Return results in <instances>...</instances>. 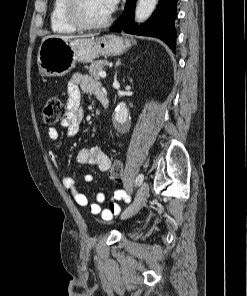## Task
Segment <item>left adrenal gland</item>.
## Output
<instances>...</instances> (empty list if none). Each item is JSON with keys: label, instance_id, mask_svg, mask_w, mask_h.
Returning a JSON list of instances; mask_svg holds the SVG:
<instances>
[{"label": "left adrenal gland", "instance_id": "left-adrenal-gland-1", "mask_svg": "<svg viewBox=\"0 0 247 296\" xmlns=\"http://www.w3.org/2000/svg\"><path fill=\"white\" fill-rule=\"evenodd\" d=\"M119 65H120V60H118L116 63V66H119ZM116 75H117V73H116Z\"/></svg>", "mask_w": 247, "mask_h": 296}]
</instances>
